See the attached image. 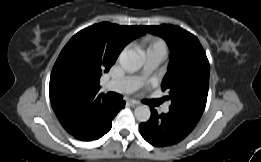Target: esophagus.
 <instances>
[{
  "mask_svg": "<svg viewBox=\"0 0 261 162\" xmlns=\"http://www.w3.org/2000/svg\"><path fill=\"white\" fill-rule=\"evenodd\" d=\"M127 104L131 107H137L139 105V103L134 100H128Z\"/></svg>",
  "mask_w": 261,
  "mask_h": 162,
  "instance_id": "obj_1",
  "label": "esophagus"
}]
</instances>
